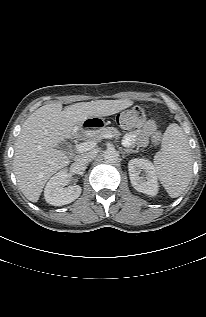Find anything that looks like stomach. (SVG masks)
I'll use <instances>...</instances> for the list:
<instances>
[{
  "label": "stomach",
  "mask_w": 206,
  "mask_h": 317,
  "mask_svg": "<svg viewBox=\"0 0 206 317\" xmlns=\"http://www.w3.org/2000/svg\"><path fill=\"white\" fill-rule=\"evenodd\" d=\"M116 126L117 124L115 115L100 114L97 116H88L87 118L81 119L77 124V131L81 136L91 139L93 135L97 132H100L101 129H109L111 127L115 128ZM88 134L90 135L88 136Z\"/></svg>",
  "instance_id": "stomach-1"
}]
</instances>
